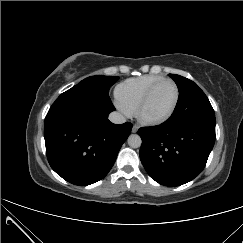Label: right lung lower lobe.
I'll return each mask as SVG.
<instances>
[{"mask_svg": "<svg viewBox=\"0 0 243 243\" xmlns=\"http://www.w3.org/2000/svg\"><path fill=\"white\" fill-rule=\"evenodd\" d=\"M108 94L74 86L50 107L44 122L46 155L51 168L80 186L104 178L131 132L132 124H113Z\"/></svg>", "mask_w": 243, "mask_h": 243, "instance_id": "1", "label": "right lung lower lobe"}]
</instances>
